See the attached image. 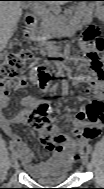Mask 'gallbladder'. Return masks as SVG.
I'll use <instances>...</instances> for the list:
<instances>
[{
    "mask_svg": "<svg viewBox=\"0 0 104 189\" xmlns=\"http://www.w3.org/2000/svg\"><path fill=\"white\" fill-rule=\"evenodd\" d=\"M22 7L25 8V9L31 8V6H30L29 4H26V3H23V4H22Z\"/></svg>",
    "mask_w": 104,
    "mask_h": 189,
    "instance_id": "obj_1",
    "label": "gallbladder"
}]
</instances>
